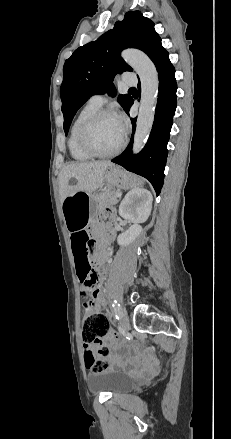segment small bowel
<instances>
[{"instance_id":"small-bowel-1","label":"small bowel","mask_w":231,"mask_h":439,"mask_svg":"<svg viewBox=\"0 0 231 439\" xmlns=\"http://www.w3.org/2000/svg\"><path fill=\"white\" fill-rule=\"evenodd\" d=\"M110 237H113V231L109 230V235L106 236V240H110ZM71 242V250L73 254V258L75 261L76 269L78 272L80 265H85L89 263L94 268V273L97 276V280L102 278V273H98L97 265L100 263L101 257L106 259L109 255V251L107 249L102 250L101 256L98 253H94L92 259H90L89 249L91 247V243L88 239V234L83 229L74 230L71 232L70 237ZM104 306V299L102 290L99 286H95L93 288V298L90 306V312H101ZM102 343L106 346L107 351L115 349L117 345V339L113 336H107L102 340ZM95 348L91 345L84 346V353L91 351L93 352ZM153 369V366L150 363H144L140 368V373H146ZM137 372V371H135Z\"/></svg>"}]
</instances>
